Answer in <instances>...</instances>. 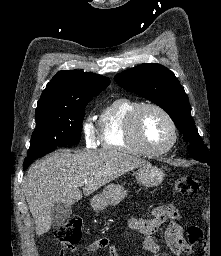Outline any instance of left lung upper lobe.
<instances>
[{
    "instance_id": "1",
    "label": "left lung upper lobe",
    "mask_w": 221,
    "mask_h": 256,
    "mask_svg": "<svg viewBox=\"0 0 221 256\" xmlns=\"http://www.w3.org/2000/svg\"><path fill=\"white\" fill-rule=\"evenodd\" d=\"M115 80L125 90L164 109L189 143L190 157L209 162L210 153L195 128L188 96L172 71L160 64H141L117 74Z\"/></svg>"
}]
</instances>
